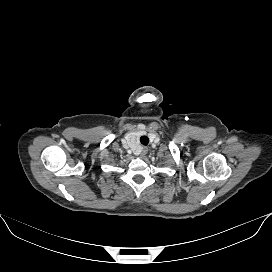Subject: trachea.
I'll return each instance as SVG.
<instances>
[{
    "label": "trachea",
    "instance_id": "trachea-1",
    "mask_svg": "<svg viewBox=\"0 0 272 272\" xmlns=\"http://www.w3.org/2000/svg\"><path fill=\"white\" fill-rule=\"evenodd\" d=\"M140 142H141V144L146 146L149 143V138L147 136H141Z\"/></svg>",
    "mask_w": 272,
    "mask_h": 272
}]
</instances>
